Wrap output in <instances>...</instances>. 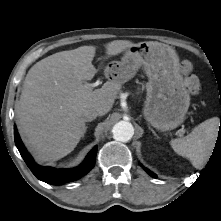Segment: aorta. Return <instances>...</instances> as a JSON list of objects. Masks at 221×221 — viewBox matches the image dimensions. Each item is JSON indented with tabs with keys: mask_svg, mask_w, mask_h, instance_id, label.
Listing matches in <instances>:
<instances>
[{
	"mask_svg": "<svg viewBox=\"0 0 221 221\" xmlns=\"http://www.w3.org/2000/svg\"><path fill=\"white\" fill-rule=\"evenodd\" d=\"M112 133L115 140L127 142L134 135V128L130 122L119 121L113 126Z\"/></svg>",
	"mask_w": 221,
	"mask_h": 221,
	"instance_id": "aorta-1",
	"label": "aorta"
}]
</instances>
